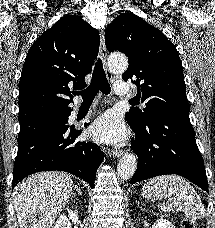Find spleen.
<instances>
[{
  "instance_id": "1",
  "label": "spleen",
  "mask_w": 215,
  "mask_h": 228,
  "mask_svg": "<svg viewBox=\"0 0 215 228\" xmlns=\"http://www.w3.org/2000/svg\"><path fill=\"white\" fill-rule=\"evenodd\" d=\"M141 196L147 200L168 198V208H182L189 220H200L205 216V208L194 188L181 176H157L144 184ZM165 208V206H161Z\"/></svg>"
}]
</instances>
